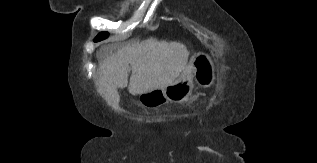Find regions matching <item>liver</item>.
Masks as SVG:
<instances>
[{"label":"liver","mask_w":317,"mask_h":163,"mask_svg":"<svg viewBox=\"0 0 317 163\" xmlns=\"http://www.w3.org/2000/svg\"><path fill=\"white\" fill-rule=\"evenodd\" d=\"M189 54L180 42L156 38L124 46L100 63L98 93L117 109V88L127 87L129 69L132 74L128 90L135 96L173 83L187 68Z\"/></svg>","instance_id":"1"}]
</instances>
